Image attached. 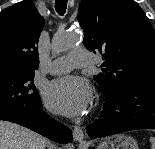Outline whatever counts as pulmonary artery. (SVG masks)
Listing matches in <instances>:
<instances>
[{
  "label": "pulmonary artery",
  "instance_id": "e3ab8cb5",
  "mask_svg": "<svg viewBox=\"0 0 155 149\" xmlns=\"http://www.w3.org/2000/svg\"><path fill=\"white\" fill-rule=\"evenodd\" d=\"M91 63V54L86 49H75L69 55L54 60L49 66L51 74L69 72L74 67H84Z\"/></svg>",
  "mask_w": 155,
  "mask_h": 149
}]
</instances>
